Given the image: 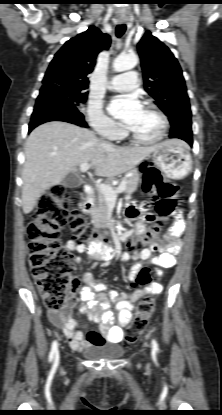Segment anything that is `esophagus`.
I'll list each match as a JSON object with an SVG mask.
<instances>
[{
  "label": "esophagus",
  "instance_id": "obj_1",
  "mask_svg": "<svg viewBox=\"0 0 222 415\" xmlns=\"http://www.w3.org/2000/svg\"><path fill=\"white\" fill-rule=\"evenodd\" d=\"M120 22H125V20H124V19H122V20H120Z\"/></svg>",
  "mask_w": 222,
  "mask_h": 415
}]
</instances>
